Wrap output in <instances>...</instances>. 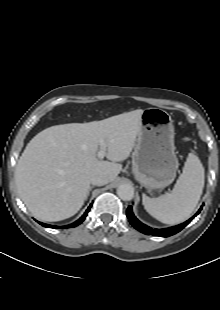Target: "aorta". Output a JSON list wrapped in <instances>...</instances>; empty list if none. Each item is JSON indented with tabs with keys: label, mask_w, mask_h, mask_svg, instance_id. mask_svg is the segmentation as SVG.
<instances>
[{
	"label": "aorta",
	"mask_w": 220,
	"mask_h": 310,
	"mask_svg": "<svg viewBox=\"0 0 220 310\" xmlns=\"http://www.w3.org/2000/svg\"><path fill=\"white\" fill-rule=\"evenodd\" d=\"M118 196L124 201H130L134 197V188L130 184H122L117 189Z\"/></svg>",
	"instance_id": "aorta-1"
}]
</instances>
